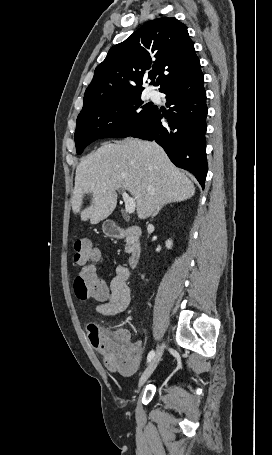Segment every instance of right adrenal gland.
I'll use <instances>...</instances> for the list:
<instances>
[{"label":"right adrenal gland","instance_id":"2a0ac1e0","mask_svg":"<svg viewBox=\"0 0 272 455\" xmlns=\"http://www.w3.org/2000/svg\"><path fill=\"white\" fill-rule=\"evenodd\" d=\"M166 204H167V203H165V204H163L162 206H160V207L154 212V214L152 215V217H155V216L158 214V212L160 211V209H161L164 205H166Z\"/></svg>","mask_w":272,"mask_h":455}]
</instances>
